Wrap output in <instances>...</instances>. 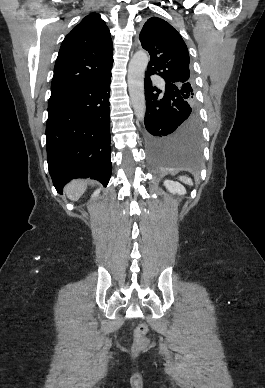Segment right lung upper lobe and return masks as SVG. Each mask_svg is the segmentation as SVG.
I'll list each match as a JSON object with an SVG mask.
<instances>
[{"label": "right lung upper lobe", "instance_id": "1", "mask_svg": "<svg viewBox=\"0 0 265 388\" xmlns=\"http://www.w3.org/2000/svg\"><path fill=\"white\" fill-rule=\"evenodd\" d=\"M113 46L110 31L91 13L66 35L55 63L51 95L103 80L111 75Z\"/></svg>", "mask_w": 265, "mask_h": 388}]
</instances>
